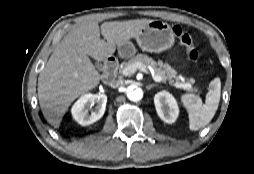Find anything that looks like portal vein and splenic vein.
<instances>
[{
  "instance_id": "18ae733b",
  "label": "portal vein and splenic vein",
  "mask_w": 254,
  "mask_h": 174,
  "mask_svg": "<svg viewBox=\"0 0 254 174\" xmlns=\"http://www.w3.org/2000/svg\"><path fill=\"white\" fill-rule=\"evenodd\" d=\"M139 69L145 73H148V70L146 68L145 65H143L142 63L138 62V63H135V64H132V65H129L127 67H125L122 71V74L124 76H129V75H132L136 72V70ZM152 78L155 82H164V79L161 77V76H157V75H152ZM171 85H173L174 87L176 88H180V89H189L191 88V84L189 83H179V82H176V83H171Z\"/></svg>"
}]
</instances>
